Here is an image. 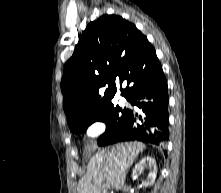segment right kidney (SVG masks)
<instances>
[{
    "label": "right kidney",
    "mask_w": 221,
    "mask_h": 193,
    "mask_svg": "<svg viewBox=\"0 0 221 193\" xmlns=\"http://www.w3.org/2000/svg\"><path fill=\"white\" fill-rule=\"evenodd\" d=\"M144 168H148L150 170L146 181L143 182V185L149 186L151 185L156 178L157 175V167L155 159L152 157H144L138 164L135 165L133 169L132 176L133 178H137V176L144 171Z\"/></svg>",
    "instance_id": "obj_1"
}]
</instances>
